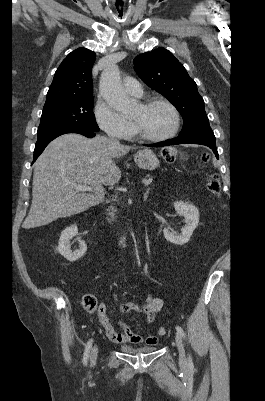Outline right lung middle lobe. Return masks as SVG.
<instances>
[{"label":"right lung middle lobe","mask_w":265,"mask_h":401,"mask_svg":"<svg viewBox=\"0 0 265 401\" xmlns=\"http://www.w3.org/2000/svg\"><path fill=\"white\" fill-rule=\"evenodd\" d=\"M93 104V96H86L44 105L37 136L57 128L99 131Z\"/></svg>","instance_id":"dd1d6c3e"}]
</instances>
